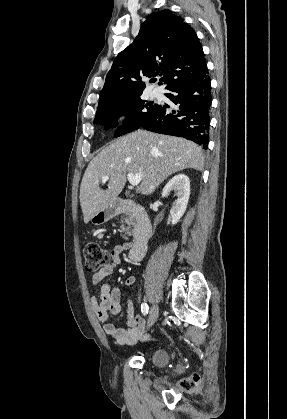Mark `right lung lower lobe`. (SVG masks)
Segmentation results:
<instances>
[{"label": "right lung lower lobe", "mask_w": 287, "mask_h": 419, "mask_svg": "<svg viewBox=\"0 0 287 419\" xmlns=\"http://www.w3.org/2000/svg\"><path fill=\"white\" fill-rule=\"evenodd\" d=\"M208 71L179 82L169 88L165 96L176 107L158 105L154 113L139 127L149 131L183 137L208 148L211 84Z\"/></svg>", "instance_id": "obj_1"}]
</instances>
